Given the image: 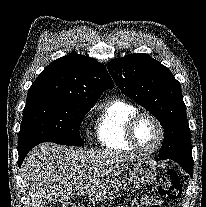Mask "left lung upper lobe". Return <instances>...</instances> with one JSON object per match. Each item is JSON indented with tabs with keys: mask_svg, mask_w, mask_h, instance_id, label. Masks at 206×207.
<instances>
[{
	"mask_svg": "<svg viewBox=\"0 0 206 207\" xmlns=\"http://www.w3.org/2000/svg\"><path fill=\"white\" fill-rule=\"evenodd\" d=\"M107 68L118 87L163 126L165 139L159 157L193 167L186 106L181 85L170 70L142 53L113 59Z\"/></svg>",
	"mask_w": 206,
	"mask_h": 207,
	"instance_id": "1",
	"label": "left lung upper lobe"
}]
</instances>
